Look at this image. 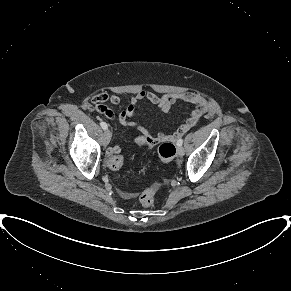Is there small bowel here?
<instances>
[{
	"label": "small bowel",
	"instance_id": "1",
	"mask_svg": "<svg viewBox=\"0 0 291 291\" xmlns=\"http://www.w3.org/2000/svg\"><path fill=\"white\" fill-rule=\"evenodd\" d=\"M143 100H148L164 113H167L171 109L172 105L178 100L194 105V110L191 112L188 119L183 124H181L174 133H159L154 135L137 122L131 120V118H133L135 115L137 104ZM92 101L96 103V109L98 112L104 114L109 119H114V113L105 105V103L110 101L112 104L118 105L120 103V98L117 95L108 96L107 94H98L93 97ZM207 109V100L202 95L197 93H168L160 96L152 91L141 90L131 97L126 108L119 114L118 120L121 125L135 127L138 131L141 132L140 135L132 138L133 143L138 145L144 143L153 145L161 142L177 141L182 135H184L199 123L201 118L206 114ZM120 151L121 148L119 146H113L108 149V155ZM121 195L126 199L134 197V194L130 192H122Z\"/></svg>",
	"mask_w": 291,
	"mask_h": 291
}]
</instances>
